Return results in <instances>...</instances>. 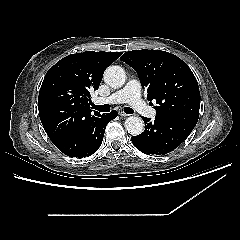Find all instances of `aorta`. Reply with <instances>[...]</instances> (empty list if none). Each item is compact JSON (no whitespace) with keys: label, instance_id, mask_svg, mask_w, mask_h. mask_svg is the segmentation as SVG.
<instances>
[{"label":"aorta","instance_id":"obj_1","mask_svg":"<svg viewBox=\"0 0 240 240\" xmlns=\"http://www.w3.org/2000/svg\"><path fill=\"white\" fill-rule=\"evenodd\" d=\"M126 74L120 66H110L104 72V81L113 88H120L125 83ZM125 128L129 134L137 136L144 130V122L140 117L130 116L125 120Z\"/></svg>","mask_w":240,"mask_h":240}]
</instances>
